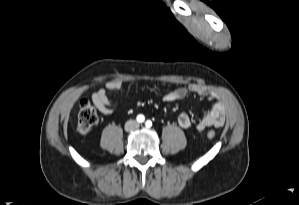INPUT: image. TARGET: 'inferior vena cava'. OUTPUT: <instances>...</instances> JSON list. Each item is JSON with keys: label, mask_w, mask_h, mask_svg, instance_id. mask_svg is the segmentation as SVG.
Listing matches in <instances>:
<instances>
[{"label": "inferior vena cava", "mask_w": 299, "mask_h": 205, "mask_svg": "<svg viewBox=\"0 0 299 205\" xmlns=\"http://www.w3.org/2000/svg\"><path fill=\"white\" fill-rule=\"evenodd\" d=\"M132 124L133 125L131 127L126 128V129L129 130V131H131V130H133V129H135V128L138 127V123L136 121H132Z\"/></svg>", "instance_id": "1"}]
</instances>
